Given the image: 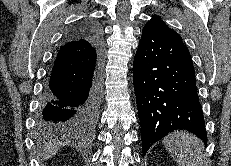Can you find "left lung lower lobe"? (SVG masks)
Masks as SVG:
<instances>
[{
    "label": "left lung lower lobe",
    "mask_w": 231,
    "mask_h": 166,
    "mask_svg": "<svg viewBox=\"0 0 231 166\" xmlns=\"http://www.w3.org/2000/svg\"><path fill=\"white\" fill-rule=\"evenodd\" d=\"M143 155L169 132L186 129L207 141L205 121L188 48L182 40L144 27L134 57Z\"/></svg>",
    "instance_id": "0a47b994"
}]
</instances>
